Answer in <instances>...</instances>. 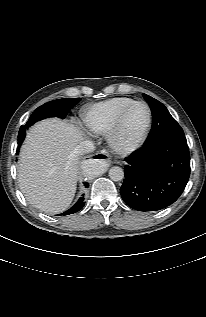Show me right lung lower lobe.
I'll list each match as a JSON object with an SVG mask.
<instances>
[{
    "label": "right lung lower lobe",
    "instance_id": "right-lung-lower-lobe-1",
    "mask_svg": "<svg viewBox=\"0 0 206 317\" xmlns=\"http://www.w3.org/2000/svg\"><path fill=\"white\" fill-rule=\"evenodd\" d=\"M19 147L17 148V153L19 151ZM85 186L88 187V183H85ZM85 203H84V195H82V197H80V199L77 201V203L70 208L69 210H67L66 212L63 213V215H69V214H73L78 212L79 210H81L84 207Z\"/></svg>",
    "mask_w": 206,
    "mask_h": 317
}]
</instances>
